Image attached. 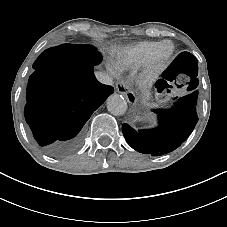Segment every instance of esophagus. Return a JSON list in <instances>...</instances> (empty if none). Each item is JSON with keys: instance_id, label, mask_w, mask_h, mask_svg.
<instances>
[{"instance_id": "obj_1", "label": "esophagus", "mask_w": 227, "mask_h": 227, "mask_svg": "<svg viewBox=\"0 0 227 227\" xmlns=\"http://www.w3.org/2000/svg\"><path fill=\"white\" fill-rule=\"evenodd\" d=\"M116 89L118 93L123 95L132 106L137 104V97L135 93L130 89V87L124 81L118 80L116 82Z\"/></svg>"}]
</instances>
